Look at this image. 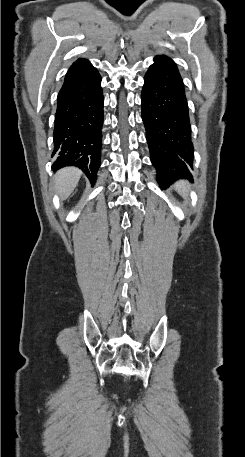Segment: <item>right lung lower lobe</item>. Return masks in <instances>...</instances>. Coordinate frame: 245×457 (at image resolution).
<instances>
[{
  "label": "right lung lower lobe",
  "instance_id": "right-lung-lower-lobe-1",
  "mask_svg": "<svg viewBox=\"0 0 245 457\" xmlns=\"http://www.w3.org/2000/svg\"><path fill=\"white\" fill-rule=\"evenodd\" d=\"M101 76L93 68L65 77L57 97L53 170L80 168L93 184L100 166L103 125Z\"/></svg>",
  "mask_w": 245,
  "mask_h": 457
}]
</instances>
